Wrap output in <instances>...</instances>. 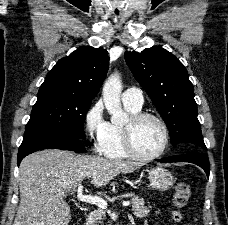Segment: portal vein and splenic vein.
Listing matches in <instances>:
<instances>
[{
	"label": "portal vein and splenic vein",
	"mask_w": 228,
	"mask_h": 225,
	"mask_svg": "<svg viewBox=\"0 0 228 225\" xmlns=\"http://www.w3.org/2000/svg\"><path fill=\"white\" fill-rule=\"evenodd\" d=\"M84 185L78 184L74 189V192L77 194L78 201H82V203H92V205H97L99 209H107L108 205L104 199L101 197H90V195H84L83 191ZM62 197H66V195H62ZM124 207H128L130 203H123Z\"/></svg>",
	"instance_id": "1"
}]
</instances>
